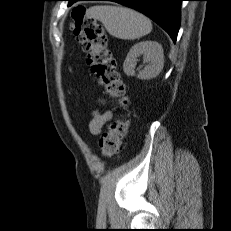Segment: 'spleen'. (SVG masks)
Listing matches in <instances>:
<instances>
[{
    "label": "spleen",
    "mask_w": 231,
    "mask_h": 231,
    "mask_svg": "<svg viewBox=\"0 0 231 231\" xmlns=\"http://www.w3.org/2000/svg\"><path fill=\"white\" fill-rule=\"evenodd\" d=\"M88 14L99 20L110 35L119 39H138L152 30L149 18L126 7L97 5L90 7Z\"/></svg>",
    "instance_id": "obj_1"
}]
</instances>
